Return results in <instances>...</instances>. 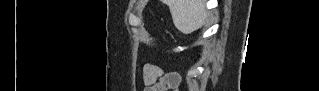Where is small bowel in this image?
I'll list each match as a JSON object with an SVG mask.
<instances>
[{
    "label": "small bowel",
    "instance_id": "1",
    "mask_svg": "<svg viewBox=\"0 0 319 91\" xmlns=\"http://www.w3.org/2000/svg\"><path fill=\"white\" fill-rule=\"evenodd\" d=\"M164 73L158 67H152L150 65L144 68L143 76L147 84L155 82L159 79ZM168 76V75H167ZM178 83V78L176 75H172V78L168 81L169 86H175Z\"/></svg>",
    "mask_w": 319,
    "mask_h": 91
}]
</instances>
